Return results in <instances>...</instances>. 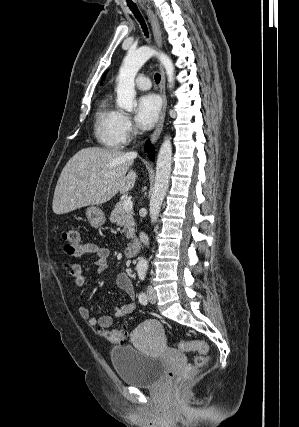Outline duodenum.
Wrapping results in <instances>:
<instances>
[{"label":"duodenum","mask_w":299,"mask_h":427,"mask_svg":"<svg viewBox=\"0 0 299 427\" xmlns=\"http://www.w3.org/2000/svg\"><path fill=\"white\" fill-rule=\"evenodd\" d=\"M139 241L138 239H133L131 242L126 246L124 250V256L127 258H133L137 255V252L139 250Z\"/></svg>","instance_id":"410a0bca"}]
</instances>
